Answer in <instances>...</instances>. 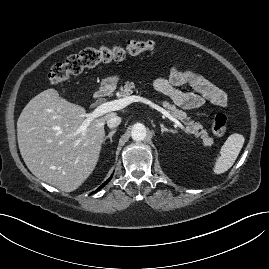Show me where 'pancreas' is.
I'll return each mask as SVG.
<instances>
[{"label":"pancreas","mask_w":269,"mask_h":269,"mask_svg":"<svg viewBox=\"0 0 269 269\" xmlns=\"http://www.w3.org/2000/svg\"><path fill=\"white\" fill-rule=\"evenodd\" d=\"M134 89L135 84L127 81L124 87L120 88L118 94L120 97L130 96L133 94ZM162 106L166 108L173 117L182 121L186 125L187 130L196 137H200L206 145H210L212 143V138L209 137L207 131L203 128L201 123L191 120V118L187 116L186 112L177 109L175 105H172L167 101L162 102Z\"/></svg>","instance_id":"pancreas-1"}]
</instances>
